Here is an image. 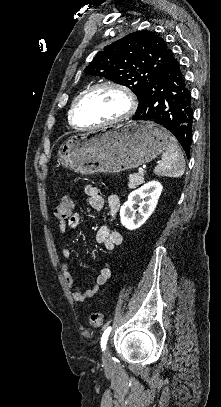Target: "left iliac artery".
Listing matches in <instances>:
<instances>
[{
    "instance_id": "obj_1",
    "label": "left iliac artery",
    "mask_w": 221,
    "mask_h": 407,
    "mask_svg": "<svg viewBox=\"0 0 221 407\" xmlns=\"http://www.w3.org/2000/svg\"><path fill=\"white\" fill-rule=\"evenodd\" d=\"M111 332V326L107 327L106 330L104 331L102 337H101V347L102 350H105L106 344H107V340H108V336Z\"/></svg>"
}]
</instances>
